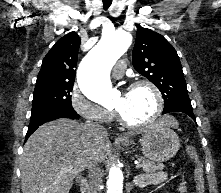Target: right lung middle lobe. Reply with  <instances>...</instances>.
<instances>
[{
    "label": "right lung middle lobe",
    "instance_id": "obj_1",
    "mask_svg": "<svg viewBox=\"0 0 221 193\" xmlns=\"http://www.w3.org/2000/svg\"><path fill=\"white\" fill-rule=\"evenodd\" d=\"M74 83L38 84L35 86L32 114L51 108L72 110L70 92Z\"/></svg>",
    "mask_w": 221,
    "mask_h": 193
}]
</instances>
